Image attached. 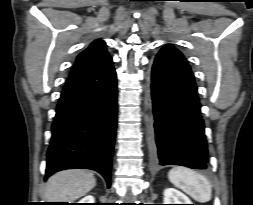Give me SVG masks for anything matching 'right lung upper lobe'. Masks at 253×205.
Returning <instances> with one entry per match:
<instances>
[{
    "instance_id": "obj_1",
    "label": "right lung upper lobe",
    "mask_w": 253,
    "mask_h": 205,
    "mask_svg": "<svg viewBox=\"0 0 253 205\" xmlns=\"http://www.w3.org/2000/svg\"><path fill=\"white\" fill-rule=\"evenodd\" d=\"M111 59L107 53L105 42L95 40L86 50L78 55L70 76L99 67Z\"/></svg>"
}]
</instances>
